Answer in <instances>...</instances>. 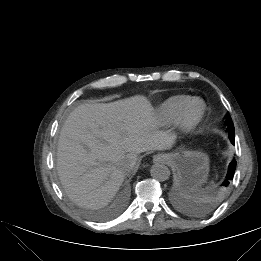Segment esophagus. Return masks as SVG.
Returning a JSON list of instances; mask_svg holds the SVG:
<instances>
[{
	"instance_id": "1",
	"label": "esophagus",
	"mask_w": 261,
	"mask_h": 261,
	"mask_svg": "<svg viewBox=\"0 0 261 261\" xmlns=\"http://www.w3.org/2000/svg\"><path fill=\"white\" fill-rule=\"evenodd\" d=\"M164 155H162V154H156V155H154L153 156V162L154 163H161V162H163L164 161Z\"/></svg>"
}]
</instances>
